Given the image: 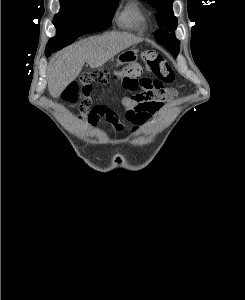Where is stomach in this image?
Listing matches in <instances>:
<instances>
[{
  "instance_id": "0dacf381",
  "label": "stomach",
  "mask_w": 245,
  "mask_h": 300,
  "mask_svg": "<svg viewBox=\"0 0 245 300\" xmlns=\"http://www.w3.org/2000/svg\"><path fill=\"white\" fill-rule=\"evenodd\" d=\"M137 59H138V51L131 48L118 55L116 62L117 65H124L128 63H133L137 61Z\"/></svg>"
}]
</instances>
